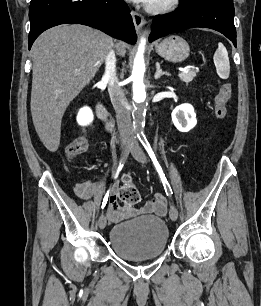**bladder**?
<instances>
[{
    "instance_id": "obj_1",
    "label": "bladder",
    "mask_w": 261,
    "mask_h": 306,
    "mask_svg": "<svg viewBox=\"0 0 261 306\" xmlns=\"http://www.w3.org/2000/svg\"><path fill=\"white\" fill-rule=\"evenodd\" d=\"M169 229L166 222L154 215H141L116 224L109 233L114 253L128 261L153 259L165 253Z\"/></svg>"
}]
</instances>
